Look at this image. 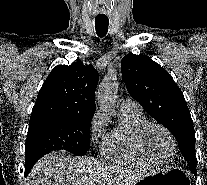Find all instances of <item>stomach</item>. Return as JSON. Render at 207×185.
Listing matches in <instances>:
<instances>
[{"mask_svg": "<svg viewBox=\"0 0 207 185\" xmlns=\"http://www.w3.org/2000/svg\"><path fill=\"white\" fill-rule=\"evenodd\" d=\"M136 185H190L188 175L180 168H172L140 179Z\"/></svg>", "mask_w": 207, "mask_h": 185, "instance_id": "0dacf381", "label": "stomach"}]
</instances>
